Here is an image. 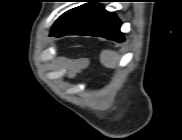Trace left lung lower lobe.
Instances as JSON below:
<instances>
[{"label":"left lung lower lobe","mask_w":182,"mask_h":140,"mask_svg":"<svg viewBox=\"0 0 182 140\" xmlns=\"http://www.w3.org/2000/svg\"><path fill=\"white\" fill-rule=\"evenodd\" d=\"M64 35H89L105 37L117 42L124 41L123 34L120 32V20L115 14L106 11L103 6L68 30Z\"/></svg>","instance_id":"0a47b994"}]
</instances>
